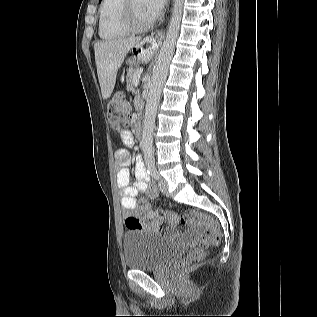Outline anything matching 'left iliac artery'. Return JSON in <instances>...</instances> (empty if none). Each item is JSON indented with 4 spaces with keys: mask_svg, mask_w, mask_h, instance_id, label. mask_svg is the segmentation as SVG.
<instances>
[{
    "mask_svg": "<svg viewBox=\"0 0 317 317\" xmlns=\"http://www.w3.org/2000/svg\"><path fill=\"white\" fill-rule=\"evenodd\" d=\"M148 174H150L151 177L154 178L155 180H158L160 178L159 173L157 169L155 168V166L149 167Z\"/></svg>",
    "mask_w": 317,
    "mask_h": 317,
    "instance_id": "left-iliac-artery-1",
    "label": "left iliac artery"
}]
</instances>
